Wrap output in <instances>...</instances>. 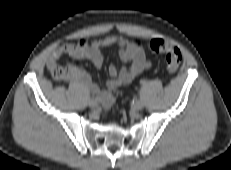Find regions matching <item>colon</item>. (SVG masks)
Listing matches in <instances>:
<instances>
[{
	"label": "colon",
	"mask_w": 231,
	"mask_h": 170,
	"mask_svg": "<svg viewBox=\"0 0 231 170\" xmlns=\"http://www.w3.org/2000/svg\"><path fill=\"white\" fill-rule=\"evenodd\" d=\"M148 49L153 53L163 54L165 56L167 69L169 73H175L181 64L180 50L168 42L155 38L148 43ZM79 71L72 65L62 66L57 64L51 69L53 77L59 81H67Z\"/></svg>",
	"instance_id": "5ec220e1"
}]
</instances>
